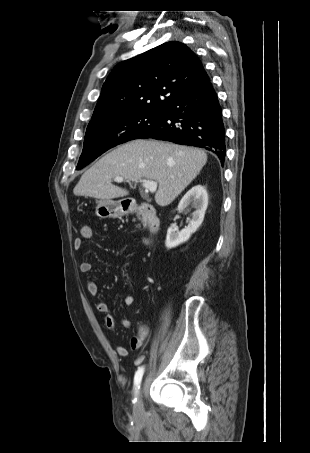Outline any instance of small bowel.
<instances>
[{"label":"small bowel","mask_w":310,"mask_h":453,"mask_svg":"<svg viewBox=\"0 0 310 453\" xmlns=\"http://www.w3.org/2000/svg\"><path fill=\"white\" fill-rule=\"evenodd\" d=\"M88 237H78L74 239L73 246L76 250H79L83 246V241L84 239L90 238ZM92 270V263L88 260L82 261L80 263V271L84 274L89 273ZM86 288L88 293L91 296H97L98 295V285L96 282H94L91 279L86 280ZM117 298L121 299L122 303L125 306H131L134 302V298L132 295H117ZM96 308L98 312L102 313L104 315V325L107 329L109 330H114L116 328V320L114 315L111 313L110 308L108 304L105 301H98L96 303ZM120 325L123 328H129L131 326V321L127 318H122L120 319ZM148 335V329L145 325H140L138 327L137 333L131 338L130 340V346L132 350H138L144 343L146 337ZM116 352L120 357H125L128 355V350L125 346L123 345H118L116 347Z\"/></svg>","instance_id":"c3829d8e"}]
</instances>
